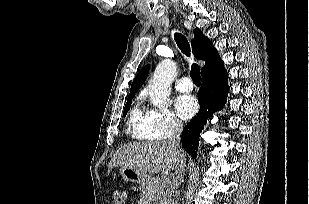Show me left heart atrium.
I'll use <instances>...</instances> for the list:
<instances>
[{"label":"left heart atrium","mask_w":309,"mask_h":204,"mask_svg":"<svg viewBox=\"0 0 309 204\" xmlns=\"http://www.w3.org/2000/svg\"><path fill=\"white\" fill-rule=\"evenodd\" d=\"M176 109L181 118L189 119L196 113L198 104L193 96L182 95L176 99Z\"/></svg>","instance_id":"39dd6f15"}]
</instances>
